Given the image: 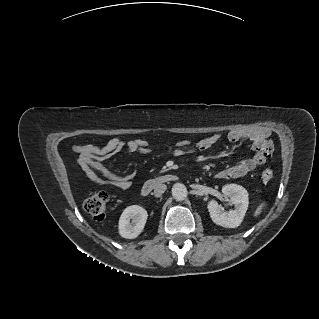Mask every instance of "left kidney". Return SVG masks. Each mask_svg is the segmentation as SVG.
Returning <instances> with one entry per match:
<instances>
[{
	"instance_id": "5707ae66",
	"label": "left kidney",
	"mask_w": 319,
	"mask_h": 319,
	"mask_svg": "<svg viewBox=\"0 0 319 319\" xmlns=\"http://www.w3.org/2000/svg\"><path fill=\"white\" fill-rule=\"evenodd\" d=\"M222 192L225 197H230V201L234 204L235 209L225 211L217 201L211 200L207 205L210 217L217 225L226 228H236L243 221L248 209V192L244 187L237 184L224 185Z\"/></svg>"
}]
</instances>
